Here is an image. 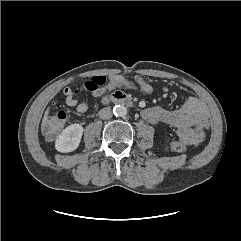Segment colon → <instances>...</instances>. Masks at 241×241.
Listing matches in <instances>:
<instances>
[{
  "instance_id": "colon-1",
  "label": "colon",
  "mask_w": 241,
  "mask_h": 241,
  "mask_svg": "<svg viewBox=\"0 0 241 241\" xmlns=\"http://www.w3.org/2000/svg\"><path fill=\"white\" fill-rule=\"evenodd\" d=\"M145 86L146 82L141 78L127 79L122 77L110 80L107 83L104 76H93L88 81H86L80 88L73 89V94L76 96L82 90H87L93 94H101L105 90H116V92H120L118 91V89L121 88L143 89ZM66 120L67 113L65 111H56L50 118L46 120L44 124L45 134L50 138H54L63 128ZM171 149L176 153L186 152V146L180 141L172 142Z\"/></svg>"
}]
</instances>
